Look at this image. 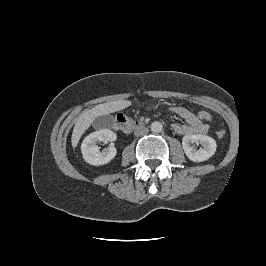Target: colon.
<instances>
[{
    "mask_svg": "<svg viewBox=\"0 0 266 266\" xmlns=\"http://www.w3.org/2000/svg\"><path fill=\"white\" fill-rule=\"evenodd\" d=\"M196 116L201 121H210L212 119V115L208 111H205V110L198 111L196 113ZM216 134L219 138H222L225 136V130H218Z\"/></svg>",
    "mask_w": 266,
    "mask_h": 266,
    "instance_id": "colon-1",
    "label": "colon"
}]
</instances>
